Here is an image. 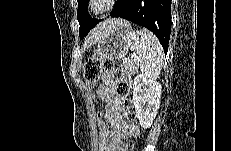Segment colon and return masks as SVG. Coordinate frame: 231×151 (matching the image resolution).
<instances>
[{"label": "colon", "instance_id": "5ec220e1", "mask_svg": "<svg viewBox=\"0 0 231 151\" xmlns=\"http://www.w3.org/2000/svg\"><path fill=\"white\" fill-rule=\"evenodd\" d=\"M103 72L112 73L117 77L118 83L116 86V94L125 99L124 106L129 111L130 117L133 118V114L130 112L132 103L128 99L130 88L128 83L122 79V74L117 69L115 63L111 60L100 58H91L86 60L83 67V73L85 82L89 86L97 84ZM97 125L99 129V151H110V129L102 112H98L97 114ZM128 149L129 144L125 143L119 148V151H127Z\"/></svg>", "mask_w": 231, "mask_h": 151}]
</instances>
